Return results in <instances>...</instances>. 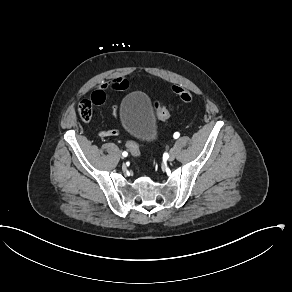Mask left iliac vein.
I'll return each instance as SVG.
<instances>
[{"label": "left iliac vein", "instance_id": "left-iliac-vein-1", "mask_svg": "<svg viewBox=\"0 0 292 292\" xmlns=\"http://www.w3.org/2000/svg\"><path fill=\"white\" fill-rule=\"evenodd\" d=\"M175 150L174 149H171L170 152H169V155H168V160L169 161H173L175 159Z\"/></svg>", "mask_w": 292, "mask_h": 292}]
</instances>
